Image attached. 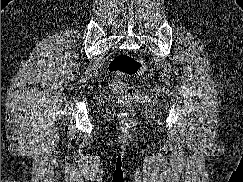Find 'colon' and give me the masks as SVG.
Listing matches in <instances>:
<instances>
[{"mask_svg": "<svg viewBox=\"0 0 243 182\" xmlns=\"http://www.w3.org/2000/svg\"><path fill=\"white\" fill-rule=\"evenodd\" d=\"M146 70V63L128 53H119L109 63V71L115 76H134ZM113 88L125 99H135L138 92L121 79H115Z\"/></svg>", "mask_w": 243, "mask_h": 182, "instance_id": "5ec220e1", "label": "colon"}]
</instances>
